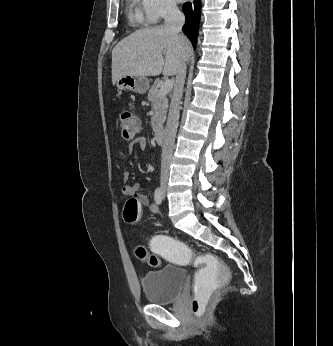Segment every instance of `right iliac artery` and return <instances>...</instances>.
<instances>
[{"label": "right iliac artery", "mask_w": 333, "mask_h": 346, "mask_svg": "<svg viewBox=\"0 0 333 346\" xmlns=\"http://www.w3.org/2000/svg\"><path fill=\"white\" fill-rule=\"evenodd\" d=\"M154 199L158 205H160L162 203L163 191L160 187L156 188L155 193H154Z\"/></svg>", "instance_id": "right-iliac-artery-1"}]
</instances>
